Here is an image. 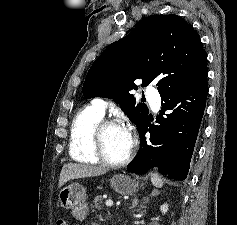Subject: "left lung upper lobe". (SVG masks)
Returning a JSON list of instances; mask_svg holds the SVG:
<instances>
[{"mask_svg":"<svg viewBox=\"0 0 237 225\" xmlns=\"http://www.w3.org/2000/svg\"><path fill=\"white\" fill-rule=\"evenodd\" d=\"M207 56L193 27L177 15H152L110 44L94 61L83 84L85 98H112L137 128L147 118L145 104L131 91L155 80L160 94L197 85L207 76Z\"/></svg>","mask_w":237,"mask_h":225,"instance_id":"1","label":"left lung upper lobe"}]
</instances>
